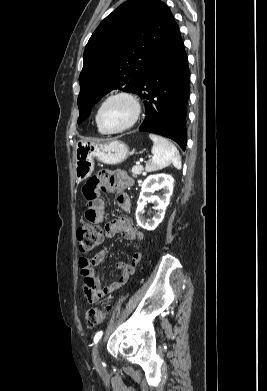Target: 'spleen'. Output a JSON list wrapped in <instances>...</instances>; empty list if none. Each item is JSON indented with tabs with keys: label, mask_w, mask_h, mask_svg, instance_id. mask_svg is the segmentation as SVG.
Returning <instances> with one entry per match:
<instances>
[{
	"label": "spleen",
	"mask_w": 267,
	"mask_h": 391,
	"mask_svg": "<svg viewBox=\"0 0 267 391\" xmlns=\"http://www.w3.org/2000/svg\"><path fill=\"white\" fill-rule=\"evenodd\" d=\"M149 138L153 141V157L146 163L145 170L147 172L161 170L170 164H173L177 169H181V157L174 144L155 134H149Z\"/></svg>",
	"instance_id": "3e777b00"
}]
</instances>
